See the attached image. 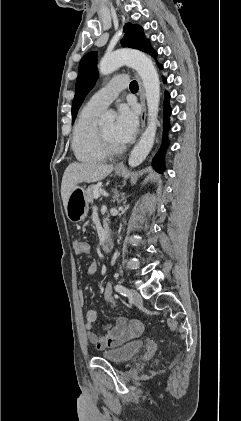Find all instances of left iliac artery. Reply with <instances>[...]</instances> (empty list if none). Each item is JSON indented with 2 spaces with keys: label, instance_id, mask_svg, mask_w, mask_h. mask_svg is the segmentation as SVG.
I'll return each mask as SVG.
<instances>
[{
  "label": "left iliac artery",
  "instance_id": "1",
  "mask_svg": "<svg viewBox=\"0 0 241 421\" xmlns=\"http://www.w3.org/2000/svg\"><path fill=\"white\" fill-rule=\"evenodd\" d=\"M115 290L118 292V293H120L122 296H125V297H127L128 295H129V291H128V289L126 288V287H124L123 285H121V284H117V285H115Z\"/></svg>",
  "mask_w": 241,
  "mask_h": 421
}]
</instances>
